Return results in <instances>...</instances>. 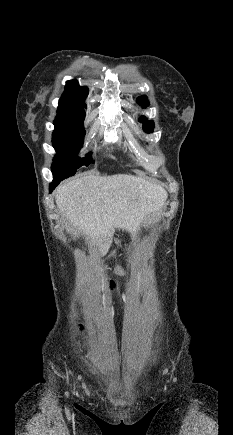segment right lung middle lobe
Wrapping results in <instances>:
<instances>
[{
    "instance_id": "dd1d6c3e",
    "label": "right lung middle lobe",
    "mask_w": 233,
    "mask_h": 435,
    "mask_svg": "<svg viewBox=\"0 0 233 435\" xmlns=\"http://www.w3.org/2000/svg\"><path fill=\"white\" fill-rule=\"evenodd\" d=\"M85 117L75 118L64 122H54L52 143L57 155L51 167L54 180H63L73 176L82 165L94 163L91 153L84 158L76 154L83 147L85 130L83 121Z\"/></svg>"
}]
</instances>
